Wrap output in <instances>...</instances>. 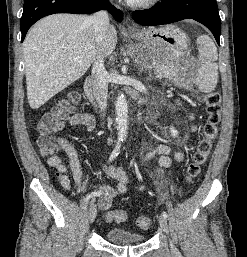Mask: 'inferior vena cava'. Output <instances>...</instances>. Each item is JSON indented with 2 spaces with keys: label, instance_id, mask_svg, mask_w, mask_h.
<instances>
[{
  "label": "inferior vena cava",
  "instance_id": "1",
  "mask_svg": "<svg viewBox=\"0 0 247 257\" xmlns=\"http://www.w3.org/2000/svg\"><path fill=\"white\" fill-rule=\"evenodd\" d=\"M89 21L93 25L96 42L98 45H100L109 26L108 13L106 11H98L89 17ZM92 77L93 93L101 112H103V116H105L108 98L109 75L104 67V56L102 54H99L93 62Z\"/></svg>",
  "mask_w": 247,
  "mask_h": 257
}]
</instances>
